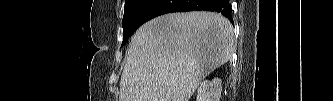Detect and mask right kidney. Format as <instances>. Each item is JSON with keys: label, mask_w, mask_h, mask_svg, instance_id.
Masks as SVG:
<instances>
[{"label": "right kidney", "mask_w": 333, "mask_h": 101, "mask_svg": "<svg viewBox=\"0 0 333 101\" xmlns=\"http://www.w3.org/2000/svg\"><path fill=\"white\" fill-rule=\"evenodd\" d=\"M222 81L214 78L212 81L201 82L197 91V101H220Z\"/></svg>", "instance_id": "right-kidney-1"}]
</instances>
